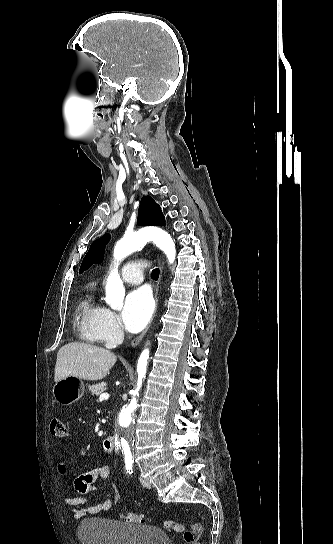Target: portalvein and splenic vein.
Wrapping results in <instances>:
<instances>
[{
    "label": "portal vein and splenic vein",
    "instance_id": "1",
    "mask_svg": "<svg viewBox=\"0 0 333 544\" xmlns=\"http://www.w3.org/2000/svg\"><path fill=\"white\" fill-rule=\"evenodd\" d=\"M109 398V394L108 393H102L100 394V397H99V400L102 401V400H107Z\"/></svg>",
    "mask_w": 333,
    "mask_h": 544
}]
</instances>
